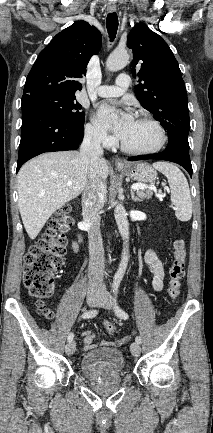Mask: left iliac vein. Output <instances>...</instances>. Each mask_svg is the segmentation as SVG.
Returning a JSON list of instances; mask_svg holds the SVG:
<instances>
[{"instance_id": "left-iliac-vein-1", "label": "left iliac vein", "mask_w": 213, "mask_h": 433, "mask_svg": "<svg viewBox=\"0 0 213 433\" xmlns=\"http://www.w3.org/2000/svg\"><path fill=\"white\" fill-rule=\"evenodd\" d=\"M99 306H101L105 309H109V310L113 309L114 301H113L112 296L108 292H104L102 294ZM130 350H131L132 355L137 357L140 355L141 347H140L139 343L134 342L131 344Z\"/></svg>"}]
</instances>
